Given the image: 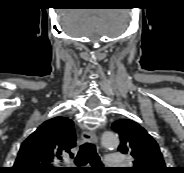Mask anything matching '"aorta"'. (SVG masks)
<instances>
[{
	"mask_svg": "<svg viewBox=\"0 0 184 173\" xmlns=\"http://www.w3.org/2000/svg\"><path fill=\"white\" fill-rule=\"evenodd\" d=\"M101 143L107 149L117 148L119 145L118 135L113 132H105L101 137Z\"/></svg>",
	"mask_w": 184,
	"mask_h": 173,
	"instance_id": "762f6f07",
	"label": "aorta"
}]
</instances>
